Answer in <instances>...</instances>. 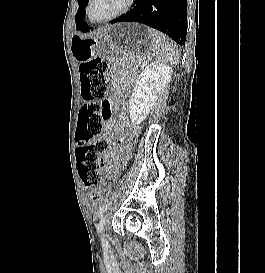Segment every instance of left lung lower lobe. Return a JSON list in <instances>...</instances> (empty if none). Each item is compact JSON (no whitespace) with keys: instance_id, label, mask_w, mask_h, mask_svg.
<instances>
[{"instance_id":"obj_1","label":"left lung lower lobe","mask_w":265,"mask_h":273,"mask_svg":"<svg viewBox=\"0 0 265 273\" xmlns=\"http://www.w3.org/2000/svg\"><path fill=\"white\" fill-rule=\"evenodd\" d=\"M116 22H139L158 29L179 45H185L187 30V0H135L134 7ZM81 32L90 31L85 23Z\"/></svg>"}]
</instances>
